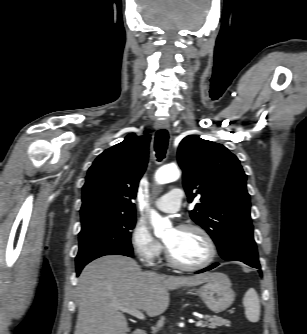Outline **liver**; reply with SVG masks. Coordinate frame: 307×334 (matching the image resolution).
<instances>
[{
	"instance_id": "1",
	"label": "liver",
	"mask_w": 307,
	"mask_h": 334,
	"mask_svg": "<svg viewBox=\"0 0 307 334\" xmlns=\"http://www.w3.org/2000/svg\"><path fill=\"white\" fill-rule=\"evenodd\" d=\"M213 278V273L190 277L142 271L127 256L108 255L84 267L77 285L78 318L74 334H126L127 320L119 307L161 315L169 306V290L196 286Z\"/></svg>"
}]
</instances>
